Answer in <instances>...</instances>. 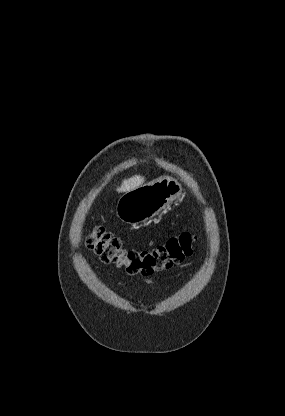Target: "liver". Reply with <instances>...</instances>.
I'll list each match as a JSON object with an SVG mask.
<instances>
[{
  "label": "liver",
  "instance_id": "1",
  "mask_svg": "<svg viewBox=\"0 0 285 416\" xmlns=\"http://www.w3.org/2000/svg\"><path fill=\"white\" fill-rule=\"evenodd\" d=\"M145 178L143 176H132L128 180H123L120 188H117V192H130V190H135L144 184Z\"/></svg>",
  "mask_w": 285,
  "mask_h": 416
}]
</instances>
